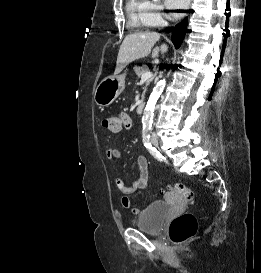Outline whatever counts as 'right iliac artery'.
<instances>
[{"mask_svg": "<svg viewBox=\"0 0 261 273\" xmlns=\"http://www.w3.org/2000/svg\"><path fill=\"white\" fill-rule=\"evenodd\" d=\"M143 143H144V146L150 152V154H152L154 156V158H156L159 161L163 160V156L151 144V141H150V132H149L148 129H144L143 130Z\"/></svg>", "mask_w": 261, "mask_h": 273, "instance_id": "obj_1", "label": "right iliac artery"}]
</instances>
